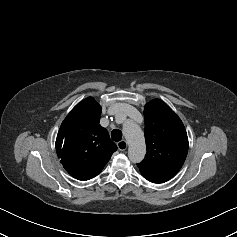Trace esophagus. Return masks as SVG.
Returning <instances> with one entry per match:
<instances>
[{"label": "esophagus", "mask_w": 237, "mask_h": 237, "mask_svg": "<svg viewBox=\"0 0 237 237\" xmlns=\"http://www.w3.org/2000/svg\"><path fill=\"white\" fill-rule=\"evenodd\" d=\"M117 147L120 151H125L127 149V142L125 140H121L117 143Z\"/></svg>", "instance_id": "esophagus-1"}]
</instances>
